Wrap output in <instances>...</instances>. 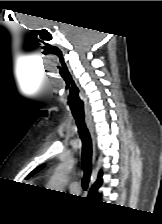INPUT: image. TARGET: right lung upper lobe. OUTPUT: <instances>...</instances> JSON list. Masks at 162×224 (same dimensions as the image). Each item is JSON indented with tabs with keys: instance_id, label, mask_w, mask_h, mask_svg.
<instances>
[{
	"instance_id": "1",
	"label": "right lung upper lobe",
	"mask_w": 162,
	"mask_h": 224,
	"mask_svg": "<svg viewBox=\"0 0 162 224\" xmlns=\"http://www.w3.org/2000/svg\"><path fill=\"white\" fill-rule=\"evenodd\" d=\"M42 168L40 166L36 167L29 175L28 177L32 176L33 174H35L36 172H38L39 170H41ZM102 184V171H100L99 176L97 181L94 183V185L92 186L89 195L94 197L98 192V188L101 186Z\"/></svg>"
}]
</instances>
